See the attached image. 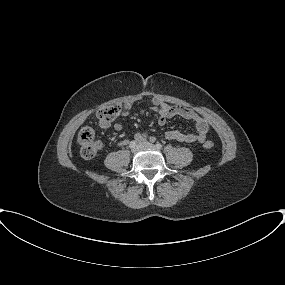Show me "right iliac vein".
I'll use <instances>...</instances> for the list:
<instances>
[{"instance_id":"63e3f726","label":"right iliac vein","mask_w":285,"mask_h":285,"mask_svg":"<svg viewBox=\"0 0 285 285\" xmlns=\"http://www.w3.org/2000/svg\"><path fill=\"white\" fill-rule=\"evenodd\" d=\"M141 148V145L137 144L135 147L132 148V152H137Z\"/></svg>"}]
</instances>
